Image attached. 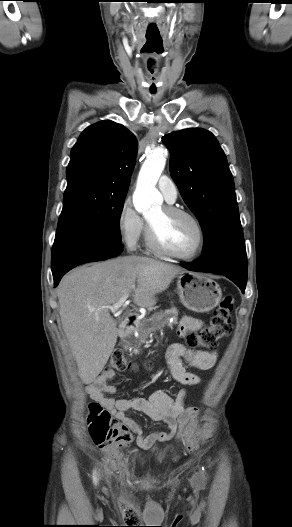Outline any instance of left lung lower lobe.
<instances>
[{"mask_svg": "<svg viewBox=\"0 0 292 527\" xmlns=\"http://www.w3.org/2000/svg\"><path fill=\"white\" fill-rule=\"evenodd\" d=\"M191 271L213 272L226 276L244 293L247 283V256L245 246L226 248L203 255L193 263H182Z\"/></svg>", "mask_w": 292, "mask_h": 527, "instance_id": "left-lung-lower-lobe-1", "label": "left lung lower lobe"}]
</instances>
